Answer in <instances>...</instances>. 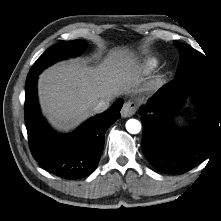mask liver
I'll return each instance as SVG.
<instances>
[{"label": "liver", "mask_w": 221, "mask_h": 221, "mask_svg": "<svg viewBox=\"0 0 221 221\" xmlns=\"http://www.w3.org/2000/svg\"><path fill=\"white\" fill-rule=\"evenodd\" d=\"M141 68L127 49L110 51L95 67L71 59L46 69L38 80L43 114L60 131H69L94 114L100 100L137 91Z\"/></svg>", "instance_id": "obj_1"}]
</instances>
